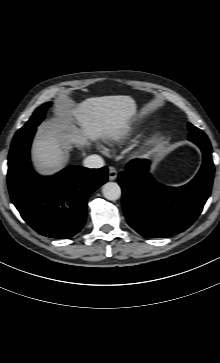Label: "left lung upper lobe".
<instances>
[{"mask_svg":"<svg viewBox=\"0 0 220 363\" xmlns=\"http://www.w3.org/2000/svg\"><path fill=\"white\" fill-rule=\"evenodd\" d=\"M188 129H189V139H197L200 141H207L208 138L205 135V133L198 129L197 127L193 126L192 124L188 123Z\"/></svg>","mask_w":220,"mask_h":363,"instance_id":"5c2ea615","label":"left lung upper lobe"}]
</instances>
